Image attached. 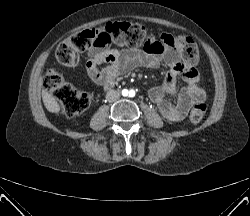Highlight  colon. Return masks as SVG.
<instances>
[{
  "label": "colon",
  "instance_id": "colon-1",
  "mask_svg": "<svg viewBox=\"0 0 250 216\" xmlns=\"http://www.w3.org/2000/svg\"><path fill=\"white\" fill-rule=\"evenodd\" d=\"M147 35H149L147 29L139 23L110 22L99 28L86 29L71 35L58 46L56 56L62 65L73 67L79 63L80 53L91 48H107L112 44L131 49L141 46L144 48L143 41ZM174 37L175 47L182 61L187 66L194 67L199 60L195 41L186 35ZM43 86L54 96L67 116L82 114L92 103L90 93L75 89L56 69L47 71ZM205 113L206 105L202 102L196 104L189 114L190 122L200 123Z\"/></svg>",
  "mask_w": 250,
  "mask_h": 216
}]
</instances>
